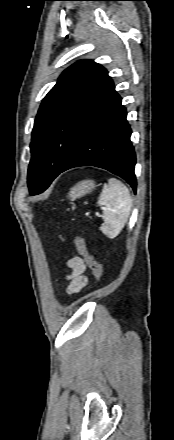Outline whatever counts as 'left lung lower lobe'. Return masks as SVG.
Masks as SVG:
<instances>
[{"label":"left lung lower lobe","instance_id":"left-lung-lower-lobe-1","mask_svg":"<svg viewBox=\"0 0 174 440\" xmlns=\"http://www.w3.org/2000/svg\"><path fill=\"white\" fill-rule=\"evenodd\" d=\"M114 85L88 117L60 173L79 166L106 169L125 179L136 193L135 151L126 108Z\"/></svg>","mask_w":174,"mask_h":440}]
</instances>
